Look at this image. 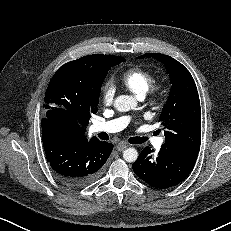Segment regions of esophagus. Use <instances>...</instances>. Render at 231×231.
<instances>
[{"label": "esophagus", "mask_w": 231, "mask_h": 231, "mask_svg": "<svg viewBox=\"0 0 231 231\" xmlns=\"http://www.w3.org/2000/svg\"><path fill=\"white\" fill-rule=\"evenodd\" d=\"M128 147V145L127 144H125V143H118L117 145H116V149L118 150V151H124L126 148Z\"/></svg>", "instance_id": "esophagus-1"}]
</instances>
